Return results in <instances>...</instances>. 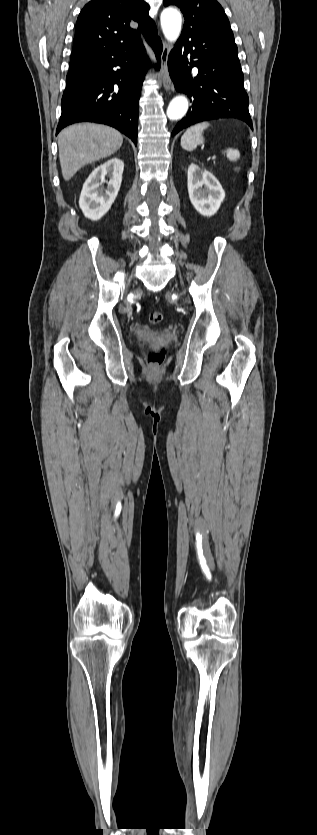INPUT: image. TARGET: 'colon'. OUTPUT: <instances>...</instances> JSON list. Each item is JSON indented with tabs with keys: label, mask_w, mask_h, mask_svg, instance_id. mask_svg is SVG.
I'll use <instances>...</instances> for the list:
<instances>
[{
	"label": "colon",
	"mask_w": 317,
	"mask_h": 835,
	"mask_svg": "<svg viewBox=\"0 0 317 835\" xmlns=\"http://www.w3.org/2000/svg\"><path fill=\"white\" fill-rule=\"evenodd\" d=\"M163 315L161 312H152L149 314V322L152 324H158L162 321ZM145 356L147 362L151 366H159L163 363L165 358V348L158 347V348H146L145 349Z\"/></svg>",
	"instance_id": "5ec220e1"
}]
</instances>
